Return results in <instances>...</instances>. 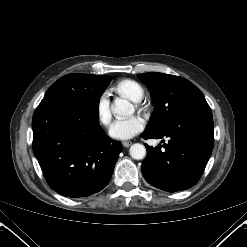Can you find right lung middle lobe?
Masks as SVG:
<instances>
[{
    "label": "right lung middle lobe",
    "instance_id": "dd1d6c3e",
    "mask_svg": "<svg viewBox=\"0 0 247 247\" xmlns=\"http://www.w3.org/2000/svg\"><path fill=\"white\" fill-rule=\"evenodd\" d=\"M110 76L68 74L58 79L45 93L44 100L59 98L99 109V99L111 81Z\"/></svg>",
    "mask_w": 247,
    "mask_h": 247
}]
</instances>
